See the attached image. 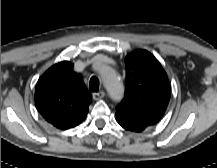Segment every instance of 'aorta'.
I'll return each instance as SVG.
<instances>
[{"label":"aorta","mask_w":217,"mask_h":168,"mask_svg":"<svg viewBox=\"0 0 217 168\" xmlns=\"http://www.w3.org/2000/svg\"><path fill=\"white\" fill-rule=\"evenodd\" d=\"M101 77L110 97L113 100H120L123 97L124 87L116 72L109 67L101 71Z\"/></svg>","instance_id":"762f6f07"}]
</instances>
